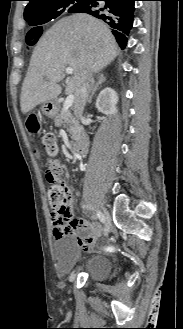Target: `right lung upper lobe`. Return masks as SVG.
Instances as JSON below:
<instances>
[{
  "mask_svg": "<svg viewBox=\"0 0 183 329\" xmlns=\"http://www.w3.org/2000/svg\"><path fill=\"white\" fill-rule=\"evenodd\" d=\"M24 18L34 17L46 14L52 7L53 4L64 1V0H28Z\"/></svg>",
  "mask_w": 183,
  "mask_h": 329,
  "instance_id": "1",
  "label": "right lung upper lobe"
}]
</instances>
